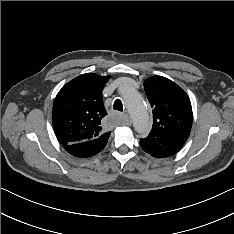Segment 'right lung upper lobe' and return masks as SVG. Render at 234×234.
I'll return each instance as SVG.
<instances>
[{"instance_id":"obj_1","label":"right lung upper lobe","mask_w":234,"mask_h":234,"mask_svg":"<svg viewBox=\"0 0 234 234\" xmlns=\"http://www.w3.org/2000/svg\"><path fill=\"white\" fill-rule=\"evenodd\" d=\"M110 76L82 74L68 82L57 94L52 108L55 134L63 146L97 138L108 139L104 129L102 90Z\"/></svg>"}]
</instances>
